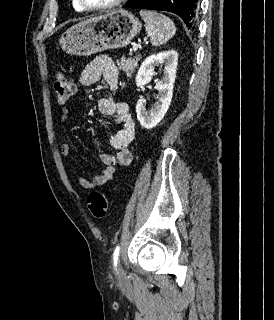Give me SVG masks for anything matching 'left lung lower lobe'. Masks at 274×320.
Segmentation results:
<instances>
[{
	"mask_svg": "<svg viewBox=\"0 0 274 320\" xmlns=\"http://www.w3.org/2000/svg\"><path fill=\"white\" fill-rule=\"evenodd\" d=\"M123 8L173 12L184 20L188 28H193L198 12V0H129Z\"/></svg>",
	"mask_w": 274,
	"mask_h": 320,
	"instance_id": "0a47b994",
	"label": "left lung lower lobe"
}]
</instances>
